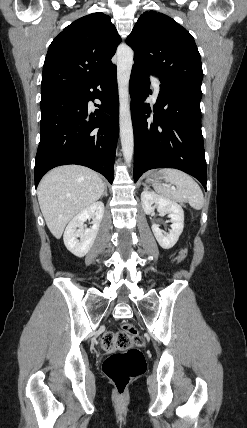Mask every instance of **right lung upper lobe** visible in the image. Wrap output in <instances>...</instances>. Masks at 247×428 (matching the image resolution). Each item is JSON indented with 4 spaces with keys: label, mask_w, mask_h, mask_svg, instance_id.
Listing matches in <instances>:
<instances>
[{
    "label": "right lung upper lobe",
    "mask_w": 247,
    "mask_h": 428,
    "mask_svg": "<svg viewBox=\"0 0 247 428\" xmlns=\"http://www.w3.org/2000/svg\"><path fill=\"white\" fill-rule=\"evenodd\" d=\"M121 37L110 17L97 12L67 26L50 44L41 94L78 90L108 71Z\"/></svg>",
    "instance_id": "1"
}]
</instances>
